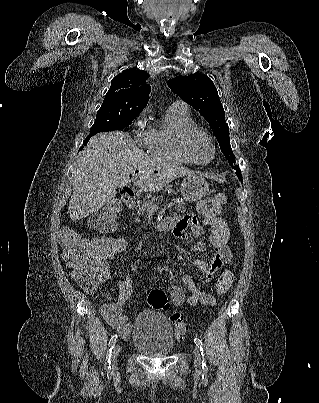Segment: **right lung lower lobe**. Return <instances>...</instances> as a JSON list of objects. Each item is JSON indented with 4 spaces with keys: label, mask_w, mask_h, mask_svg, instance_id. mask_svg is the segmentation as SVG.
Returning a JSON list of instances; mask_svg holds the SVG:
<instances>
[{
    "label": "right lung lower lobe",
    "mask_w": 319,
    "mask_h": 403,
    "mask_svg": "<svg viewBox=\"0 0 319 403\" xmlns=\"http://www.w3.org/2000/svg\"><path fill=\"white\" fill-rule=\"evenodd\" d=\"M95 134H96L95 132L90 133V134L86 137V139L83 141V144L86 145L87 142L89 141V139H90L93 135H95ZM80 149H82V148H80Z\"/></svg>",
    "instance_id": "obj_1"
}]
</instances>
